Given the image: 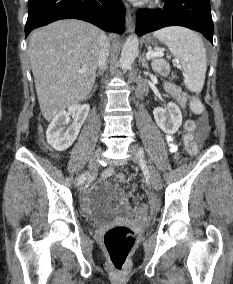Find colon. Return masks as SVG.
<instances>
[{
    "label": "colon",
    "instance_id": "1",
    "mask_svg": "<svg viewBox=\"0 0 233 284\" xmlns=\"http://www.w3.org/2000/svg\"><path fill=\"white\" fill-rule=\"evenodd\" d=\"M153 67L162 76H167L170 73V67L163 59H156L153 62ZM190 108L195 114L201 115L204 113V106L196 97L191 98ZM203 137L202 134L198 133L195 126L185 125L183 143L190 155L197 154L202 145ZM102 177L105 179L114 177L120 184L125 182V175L116 173L112 168L105 169L102 172ZM147 214L148 206L146 204H140L136 207L135 216L138 219H146ZM103 241L112 267L116 271H122L126 267L127 260L135 244L134 231L126 226L116 225L105 232Z\"/></svg>",
    "mask_w": 233,
    "mask_h": 284
}]
</instances>
